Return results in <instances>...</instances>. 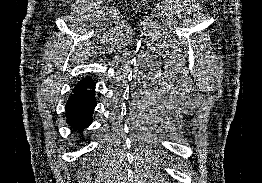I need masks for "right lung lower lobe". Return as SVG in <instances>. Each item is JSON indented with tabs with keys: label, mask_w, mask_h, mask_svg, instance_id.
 Wrapping results in <instances>:
<instances>
[{
	"label": "right lung lower lobe",
	"mask_w": 262,
	"mask_h": 183,
	"mask_svg": "<svg viewBox=\"0 0 262 183\" xmlns=\"http://www.w3.org/2000/svg\"><path fill=\"white\" fill-rule=\"evenodd\" d=\"M94 89L95 82L91 78H85L74 87L66 103L67 122L78 131L92 122V113L96 106Z\"/></svg>",
	"instance_id": "98d812e1"
}]
</instances>
